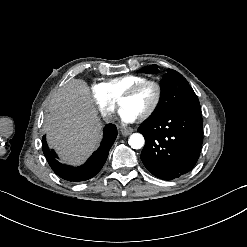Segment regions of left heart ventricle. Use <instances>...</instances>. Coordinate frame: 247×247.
<instances>
[{"label": "left heart ventricle", "instance_id": "b2bd125f", "mask_svg": "<svg viewBox=\"0 0 247 247\" xmlns=\"http://www.w3.org/2000/svg\"><path fill=\"white\" fill-rule=\"evenodd\" d=\"M154 97V90L150 86H146L140 90L135 98L131 99V104L126 107H131L140 112V117L147 113L151 107L152 100Z\"/></svg>", "mask_w": 247, "mask_h": 247}]
</instances>
